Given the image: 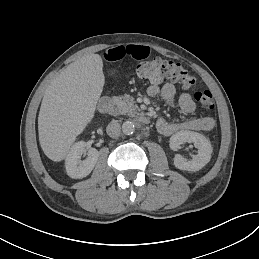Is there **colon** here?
<instances>
[{
    "mask_svg": "<svg viewBox=\"0 0 259 259\" xmlns=\"http://www.w3.org/2000/svg\"><path fill=\"white\" fill-rule=\"evenodd\" d=\"M137 74L140 78L154 84L168 80L181 84L185 89L191 88L195 83L194 78L180 64L162 58L144 61L138 66ZM194 98L205 111L214 110L215 104L210 91L196 92Z\"/></svg>",
    "mask_w": 259,
    "mask_h": 259,
    "instance_id": "colon-1",
    "label": "colon"
}]
</instances>
